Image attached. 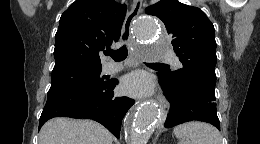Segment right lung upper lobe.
<instances>
[{
    "mask_svg": "<svg viewBox=\"0 0 260 144\" xmlns=\"http://www.w3.org/2000/svg\"><path fill=\"white\" fill-rule=\"evenodd\" d=\"M126 5L114 0H77L61 16L55 35V66H101L99 52L117 42Z\"/></svg>",
    "mask_w": 260,
    "mask_h": 144,
    "instance_id": "right-lung-upper-lobe-1",
    "label": "right lung upper lobe"
}]
</instances>
